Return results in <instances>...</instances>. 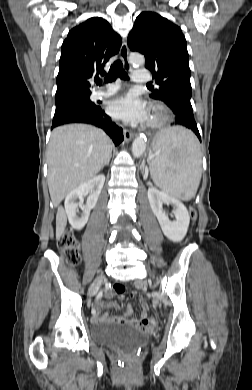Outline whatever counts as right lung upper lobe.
I'll list each match as a JSON object with an SVG mask.
<instances>
[{"label": "right lung upper lobe", "mask_w": 252, "mask_h": 390, "mask_svg": "<svg viewBox=\"0 0 252 390\" xmlns=\"http://www.w3.org/2000/svg\"><path fill=\"white\" fill-rule=\"evenodd\" d=\"M120 46L121 37L101 17L73 28L62 44L55 101L90 95L88 80L104 73L105 64Z\"/></svg>", "instance_id": "obj_1"}]
</instances>
